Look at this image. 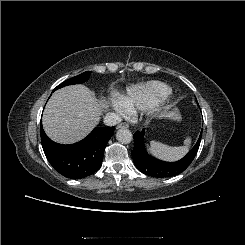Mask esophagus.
I'll return each instance as SVG.
<instances>
[{
    "label": "esophagus",
    "instance_id": "1",
    "mask_svg": "<svg viewBox=\"0 0 245 245\" xmlns=\"http://www.w3.org/2000/svg\"><path fill=\"white\" fill-rule=\"evenodd\" d=\"M129 125L127 123H120L117 125V129H127Z\"/></svg>",
    "mask_w": 245,
    "mask_h": 245
}]
</instances>
